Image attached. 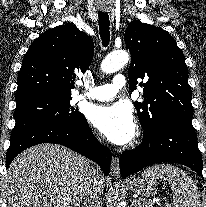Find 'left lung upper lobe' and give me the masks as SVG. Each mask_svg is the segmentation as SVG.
Returning <instances> with one entry per match:
<instances>
[{
  "instance_id": "left-lung-upper-lobe-1",
  "label": "left lung upper lobe",
  "mask_w": 206,
  "mask_h": 207,
  "mask_svg": "<svg viewBox=\"0 0 206 207\" xmlns=\"http://www.w3.org/2000/svg\"><path fill=\"white\" fill-rule=\"evenodd\" d=\"M131 53L130 88L144 87L143 102H135L144 135L171 119H192L191 89L184 55L173 37L163 29L132 22L125 31Z\"/></svg>"
}]
</instances>
